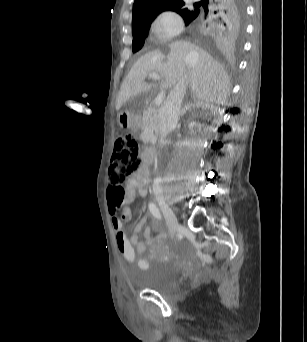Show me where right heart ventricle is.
<instances>
[{"instance_id":"obj_1","label":"right heart ventricle","mask_w":307,"mask_h":342,"mask_svg":"<svg viewBox=\"0 0 307 342\" xmlns=\"http://www.w3.org/2000/svg\"><path fill=\"white\" fill-rule=\"evenodd\" d=\"M149 42H151L150 40H148ZM148 49H150V50H154V45H149V47H148Z\"/></svg>"}]
</instances>
